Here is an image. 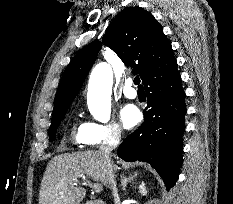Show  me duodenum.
<instances>
[{
  "label": "duodenum",
  "instance_id": "1",
  "mask_svg": "<svg viewBox=\"0 0 233 204\" xmlns=\"http://www.w3.org/2000/svg\"><path fill=\"white\" fill-rule=\"evenodd\" d=\"M84 204H106V203L101 200H95V201L86 202Z\"/></svg>",
  "mask_w": 233,
  "mask_h": 204
}]
</instances>
